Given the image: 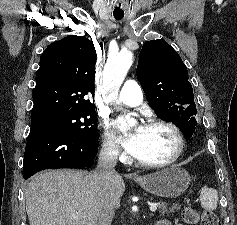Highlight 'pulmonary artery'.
Listing matches in <instances>:
<instances>
[{"label": "pulmonary artery", "instance_id": "obj_1", "mask_svg": "<svg viewBox=\"0 0 237 225\" xmlns=\"http://www.w3.org/2000/svg\"><path fill=\"white\" fill-rule=\"evenodd\" d=\"M143 100L140 85L134 80H127L117 98V102L127 106H137Z\"/></svg>", "mask_w": 237, "mask_h": 225}]
</instances>
